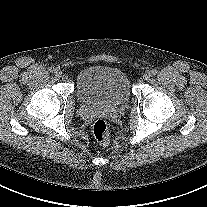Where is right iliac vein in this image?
<instances>
[{"mask_svg": "<svg viewBox=\"0 0 207 207\" xmlns=\"http://www.w3.org/2000/svg\"><path fill=\"white\" fill-rule=\"evenodd\" d=\"M54 73H55V75L57 76V77H61L62 76V71L60 70V69H55V71H54Z\"/></svg>", "mask_w": 207, "mask_h": 207, "instance_id": "obj_1", "label": "right iliac vein"}]
</instances>
